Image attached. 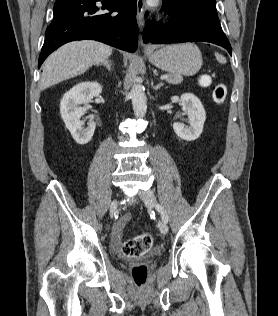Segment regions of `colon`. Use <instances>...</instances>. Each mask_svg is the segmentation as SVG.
Instances as JSON below:
<instances>
[{"instance_id":"1","label":"colon","mask_w":278,"mask_h":316,"mask_svg":"<svg viewBox=\"0 0 278 316\" xmlns=\"http://www.w3.org/2000/svg\"><path fill=\"white\" fill-rule=\"evenodd\" d=\"M209 78L201 76L199 83L203 86L209 85ZM227 96V87L223 83H217L212 87V98L215 103H223ZM153 239L149 233H142L134 238L127 240L122 246V253L126 257H141L152 247ZM132 277L135 284L139 287L145 285L147 280V269L144 265L135 266L132 269Z\"/></svg>"}]
</instances>
